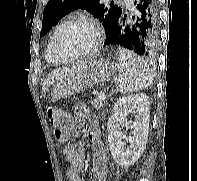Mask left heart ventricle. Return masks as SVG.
I'll return each instance as SVG.
<instances>
[{"mask_svg": "<svg viewBox=\"0 0 197 181\" xmlns=\"http://www.w3.org/2000/svg\"><path fill=\"white\" fill-rule=\"evenodd\" d=\"M95 41L93 29L86 24H75L65 30L59 41L64 58H70L91 49Z\"/></svg>", "mask_w": 197, "mask_h": 181, "instance_id": "left-heart-ventricle-1", "label": "left heart ventricle"}]
</instances>
